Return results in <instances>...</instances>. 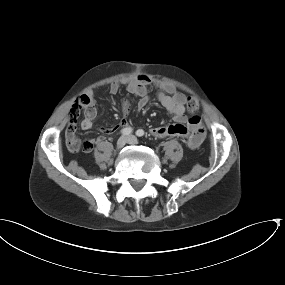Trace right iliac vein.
<instances>
[{
  "mask_svg": "<svg viewBox=\"0 0 285 285\" xmlns=\"http://www.w3.org/2000/svg\"><path fill=\"white\" fill-rule=\"evenodd\" d=\"M127 143V138L126 137H120L117 141V150H121L125 144Z\"/></svg>",
  "mask_w": 285,
  "mask_h": 285,
  "instance_id": "obj_1",
  "label": "right iliac vein"
}]
</instances>
